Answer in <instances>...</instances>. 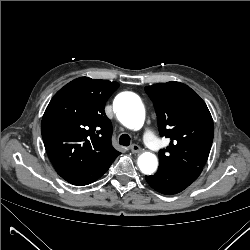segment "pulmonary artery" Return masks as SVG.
I'll return each mask as SVG.
<instances>
[{
	"instance_id": "e3ab8cb5",
	"label": "pulmonary artery",
	"mask_w": 250,
	"mask_h": 250,
	"mask_svg": "<svg viewBox=\"0 0 250 250\" xmlns=\"http://www.w3.org/2000/svg\"><path fill=\"white\" fill-rule=\"evenodd\" d=\"M144 142L148 149L154 153H158L161 150V145L152 131L146 130L143 134Z\"/></svg>"
}]
</instances>
